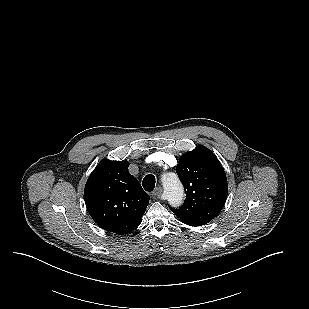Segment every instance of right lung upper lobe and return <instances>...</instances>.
Returning a JSON list of instances; mask_svg holds the SVG:
<instances>
[{"mask_svg":"<svg viewBox=\"0 0 309 309\" xmlns=\"http://www.w3.org/2000/svg\"><path fill=\"white\" fill-rule=\"evenodd\" d=\"M128 166L126 161L102 160L84 190L87 210L97 225L120 235L139 226L150 200Z\"/></svg>","mask_w":309,"mask_h":309,"instance_id":"cb5924a9","label":"right lung upper lobe"}]
</instances>
